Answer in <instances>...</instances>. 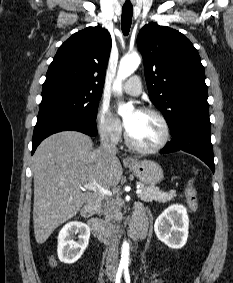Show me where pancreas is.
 <instances>
[{
  "label": "pancreas",
  "instance_id": "obj_1",
  "mask_svg": "<svg viewBox=\"0 0 233 283\" xmlns=\"http://www.w3.org/2000/svg\"><path fill=\"white\" fill-rule=\"evenodd\" d=\"M142 192L139 194V198L144 202H162L166 203L173 200L176 197V192L174 190L170 192H163L158 187L146 186L143 183L137 182ZM116 210L117 215L120 217L119 210L116 206H113Z\"/></svg>",
  "mask_w": 233,
  "mask_h": 283
}]
</instances>
